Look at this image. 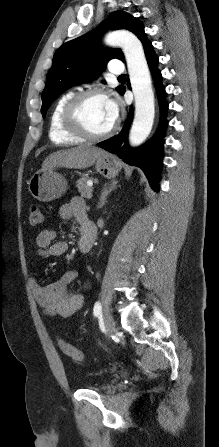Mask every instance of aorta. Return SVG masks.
Segmentation results:
<instances>
[{"label": "aorta", "instance_id": "1", "mask_svg": "<svg viewBox=\"0 0 219 447\" xmlns=\"http://www.w3.org/2000/svg\"><path fill=\"white\" fill-rule=\"evenodd\" d=\"M105 41L110 46H120L125 55L135 97V116L129 141L132 146H138L150 134L155 115L154 93L143 46L133 33L126 30L109 33Z\"/></svg>", "mask_w": 219, "mask_h": 447}]
</instances>
